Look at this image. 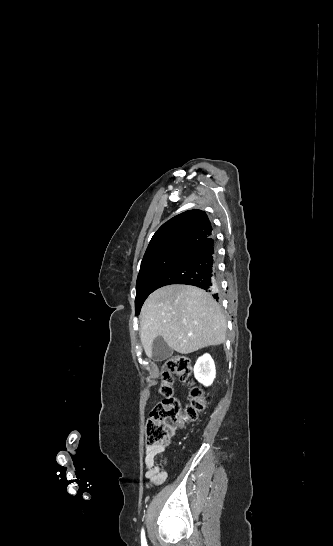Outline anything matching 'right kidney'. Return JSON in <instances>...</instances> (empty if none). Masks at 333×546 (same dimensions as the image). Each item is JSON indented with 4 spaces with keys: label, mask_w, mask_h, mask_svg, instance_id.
<instances>
[{
    "label": "right kidney",
    "mask_w": 333,
    "mask_h": 546,
    "mask_svg": "<svg viewBox=\"0 0 333 546\" xmlns=\"http://www.w3.org/2000/svg\"><path fill=\"white\" fill-rule=\"evenodd\" d=\"M216 375L215 364L211 356L206 353L199 357L194 366L195 378L205 386L212 384Z\"/></svg>",
    "instance_id": "obj_1"
}]
</instances>
